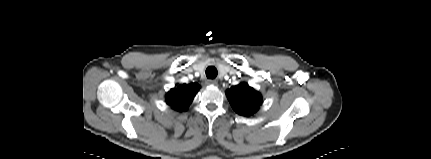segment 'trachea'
I'll list each match as a JSON object with an SVG mask.
<instances>
[{
    "instance_id": "obj_1",
    "label": "trachea",
    "mask_w": 431,
    "mask_h": 159,
    "mask_svg": "<svg viewBox=\"0 0 431 159\" xmlns=\"http://www.w3.org/2000/svg\"><path fill=\"white\" fill-rule=\"evenodd\" d=\"M218 72L214 66H209L206 69V76L208 79H214L217 76Z\"/></svg>"
}]
</instances>
